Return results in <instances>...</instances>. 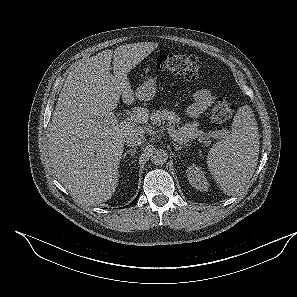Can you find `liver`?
<instances>
[{
	"mask_svg": "<svg viewBox=\"0 0 297 297\" xmlns=\"http://www.w3.org/2000/svg\"><path fill=\"white\" fill-rule=\"evenodd\" d=\"M157 47L140 42L104 50L75 66L65 80L49 127L48 152L57 178L82 204H101L115 192L124 139L130 132L142 133L136 124L146 123L148 111L134 108L130 119L116 124L105 118L120 97L125 104L136 101L128 72Z\"/></svg>",
	"mask_w": 297,
	"mask_h": 297,
	"instance_id": "obj_1",
	"label": "liver"
}]
</instances>
